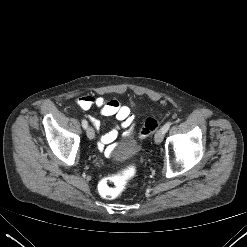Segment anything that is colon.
<instances>
[{"label":"colon","instance_id":"colon-1","mask_svg":"<svg viewBox=\"0 0 247 247\" xmlns=\"http://www.w3.org/2000/svg\"><path fill=\"white\" fill-rule=\"evenodd\" d=\"M158 126L159 123L154 117L146 118L139 133L140 138L148 137L158 128ZM134 174L135 168L133 166H128L107 176L100 183L101 194L106 198L117 197L125 189Z\"/></svg>","mask_w":247,"mask_h":247}]
</instances>
